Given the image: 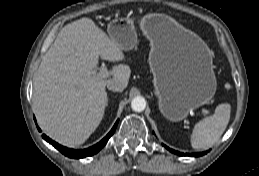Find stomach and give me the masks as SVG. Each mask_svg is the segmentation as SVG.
I'll return each mask as SVG.
<instances>
[{
    "instance_id": "obj_1",
    "label": "stomach",
    "mask_w": 259,
    "mask_h": 176,
    "mask_svg": "<svg viewBox=\"0 0 259 176\" xmlns=\"http://www.w3.org/2000/svg\"><path fill=\"white\" fill-rule=\"evenodd\" d=\"M139 27L151 44L149 64L161 113L179 121L190 109L208 103L215 83L192 37L172 19L157 14L143 17ZM109 33L123 48L131 47L137 37L132 19L115 20Z\"/></svg>"
}]
</instances>
